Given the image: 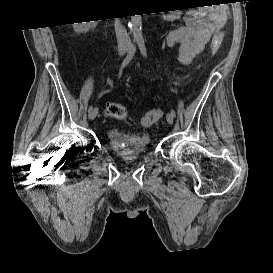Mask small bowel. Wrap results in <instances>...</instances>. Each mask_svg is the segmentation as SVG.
<instances>
[{
    "mask_svg": "<svg viewBox=\"0 0 273 273\" xmlns=\"http://www.w3.org/2000/svg\"><path fill=\"white\" fill-rule=\"evenodd\" d=\"M198 10L183 16L185 25L167 33L165 42L168 45L179 46L178 62L181 65H189L195 57L204 50L210 39L219 33L227 20L223 11L212 13L211 11ZM170 18L177 19L180 15L171 13Z\"/></svg>",
    "mask_w": 273,
    "mask_h": 273,
    "instance_id": "1",
    "label": "small bowel"
}]
</instances>
